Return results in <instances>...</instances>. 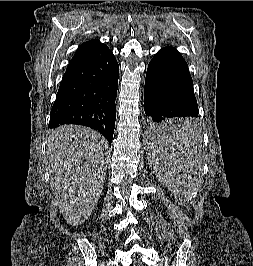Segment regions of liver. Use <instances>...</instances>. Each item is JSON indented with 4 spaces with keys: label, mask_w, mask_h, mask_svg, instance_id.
Returning <instances> with one entry per match:
<instances>
[{
    "label": "liver",
    "mask_w": 253,
    "mask_h": 266,
    "mask_svg": "<svg viewBox=\"0 0 253 266\" xmlns=\"http://www.w3.org/2000/svg\"><path fill=\"white\" fill-rule=\"evenodd\" d=\"M108 154L107 140L88 127L64 125L49 132L46 155L50 186L68 224L77 227L95 209Z\"/></svg>",
    "instance_id": "obj_1"
}]
</instances>
